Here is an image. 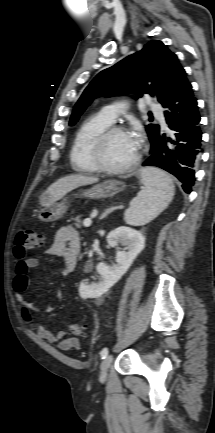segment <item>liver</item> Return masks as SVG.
<instances>
[{"mask_svg":"<svg viewBox=\"0 0 215 433\" xmlns=\"http://www.w3.org/2000/svg\"><path fill=\"white\" fill-rule=\"evenodd\" d=\"M98 180L99 179L97 177H89L80 174L69 175L54 182L48 188V192L50 193L51 198L57 201L71 190L80 186L96 183Z\"/></svg>","mask_w":215,"mask_h":433,"instance_id":"obj_1","label":"liver"}]
</instances>
